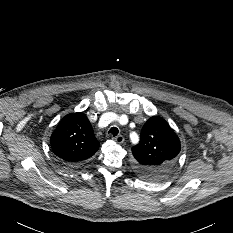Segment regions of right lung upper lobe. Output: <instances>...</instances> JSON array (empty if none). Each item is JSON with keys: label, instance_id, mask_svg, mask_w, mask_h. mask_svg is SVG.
Instances as JSON below:
<instances>
[{"label": "right lung upper lobe", "instance_id": "obj_1", "mask_svg": "<svg viewBox=\"0 0 233 233\" xmlns=\"http://www.w3.org/2000/svg\"><path fill=\"white\" fill-rule=\"evenodd\" d=\"M52 150L64 163L76 165L95 154L99 141L84 113L67 115L50 138Z\"/></svg>", "mask_w": 233, "mask_h": 233}]
</instances>
